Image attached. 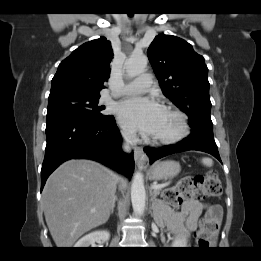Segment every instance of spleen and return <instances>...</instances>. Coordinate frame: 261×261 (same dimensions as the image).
<instances>
[{
    "instance_id": "spleen-1",
    "label": "spleen",
    "mask_w": 261,
    "mask_h": 261,
    "mask_svg": "<svg viewBox=\"0 0 261 261\" xmlns=\"http://www.w3.org/2000/svg\"><path fill=\"white\" fill-rule=\"evenodd\" d=\"M201 163L207 167H211L213 165V160L211 158L204 157L201 159Z\"/></svg>"
}]
</instances>
